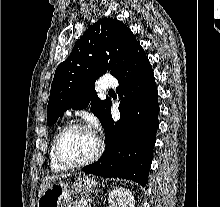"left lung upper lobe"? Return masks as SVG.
Listing matches in <instances>:
<instances>
[{"instance_id": "5c2ea615", "label": "left lung upper lobe", "mask_w": 220, "mask_h": 207, "mask_svg": "<svg viewBox=\"0 0 220 207\" xmlns=\"http://www.w3.org/2000/svg\"><path fill=\"white\" fill-rule=\"evenodd\" d=\"M138 44L130 29L117 19L102 18L90 26L55 71L47 125H53L67 109L81 110L89 103L91 111L103 123L111 100L101 101L94 83L109 70L116 77Z\"/></svg>"}]
</instances>
